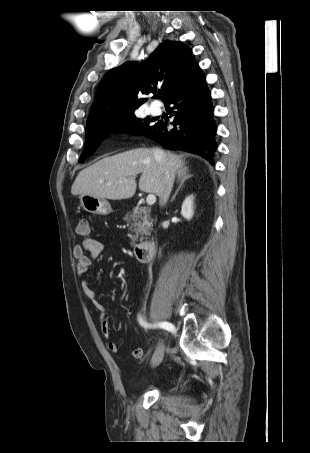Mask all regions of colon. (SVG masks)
I'll list each match as a JSON object with an SVG mask.
<instances>
[{
  "instance_id": "5ec220e1",
  "label": "colon",
  "mask_w": 310,
  "mask_h": 453,
  "mask_svg": "<svg viewBox=\"0 0 310 453\" xmlns=\"http://www.w3.org/2000/svg\"><path fill=\"white\" fill-rule=\"evenodd\" d=\"M77 234L86 237L90 234V226L87 220H80L77 226Z\"/></svg>"
}]
</instances>
